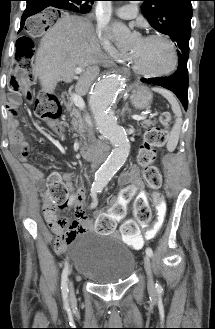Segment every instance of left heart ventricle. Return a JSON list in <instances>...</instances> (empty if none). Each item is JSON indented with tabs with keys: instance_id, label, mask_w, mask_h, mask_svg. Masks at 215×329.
Masks as SVG:
<instances>
[{
	"instance_id": "left-heart-ventricle-1",
	"label": "left heart ventricle",
	"mask_w": 215,
	"mask_h": 329,
	"mask_svg": "<svg viewBox=\"0 0 215 329\" xmlns=\"http://www.w3.org/2000/svg\"><path fill=\"white\" fill-rule=\"evenodd\" d=\"M142 69L148 72H162L173 63V53L167 42L160 39L137 40L130 50Z\"/></svg>"
}]
</instances>
